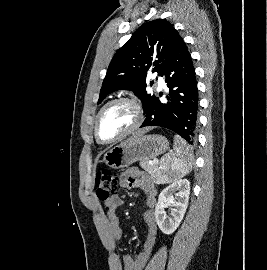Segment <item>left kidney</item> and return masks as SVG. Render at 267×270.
I'll return each instance as SVG.
<instances>
[{"instance_id":"left-kidney-1","label":"left kidney","mask_w":267,"mask_h":270,"mask_svg":"<svg viewBox=\"0 0 267 270\" xmlns=\"http://www.w3.org/2000/svg\"><path fill=\"white\" fill-rule=\"evenodd\" d=\"M189 194L190 182L187 179L174 181L160 193L155 207V219L164 234H172L180 225L188 207ZM169 205L173 207L171 217L164 210Z\"/></svg>"}]
</instances>
